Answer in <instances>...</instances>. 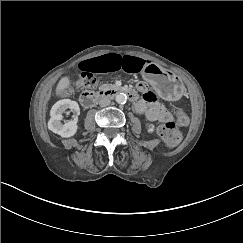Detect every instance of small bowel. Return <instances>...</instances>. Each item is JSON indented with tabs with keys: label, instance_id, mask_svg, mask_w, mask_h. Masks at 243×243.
I'll return each mask as SVG.
<instances>
[{
	"label": "small bowel",
	"instance_id": "obj_1",
	"mask_svg": "<svg viewBox=\"0 0 243 243\" xmlns=\"http://www.w3.org/2000/svg\"><path fill=\"white\" fill-rule=\"evenodd\" d=\"M144 59L119 54H105L80 63V69L85 72H114L123 70L129 73H137L144 66ZM138 89L142 92V99L136 104V110L146 116L149 121H167L169 113L158 101L155 93L148 86L141 82Z\"/></svg>",
	"mask_w": 243,
	"mask_h": 243
}]
</instances>
